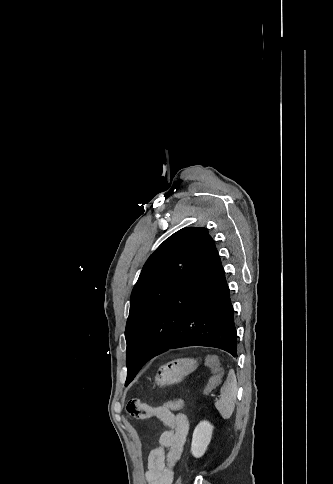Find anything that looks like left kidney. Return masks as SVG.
I'll return each instance as SVG.
<instances>
[{
	"instance_id": "obj_1",
	"label": "left kidney",
	"mask_w": 333,
	"mask_h": 484,
	"mask_svg": "<svg viewBox=\"0 0 333 484\" xmlns=\"http://www.w3.org/2000/svg\"><path fill=\"white\" fill-rule=\"evenodd\" d=\"M213 426L208 421L200 422L194 429L191 443V453L194 457H202L211 441Z\"/></svg>"
}]
</instances>
